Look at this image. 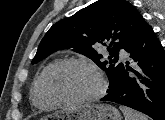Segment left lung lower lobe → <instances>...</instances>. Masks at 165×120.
Listing matches in <instances>:
<instances>
[{
	"mask_svg": "<svg viewBox=\"0 0 165 120\" xmlns=\"http://www.w3.org/2000/svg\"><path fill=\"white\" fill-rule=\"evenodd\" d=\"M125 50L130 62L123 64L118 86L101 101L138 110L154 120H165V52L152 27L144 22Z\"/></svg>",
	"mask_w": 165,
	"mask_h": 120,
	"instance_id": "1",
	"label": "left lung lower lobe"
}]
</instances>
